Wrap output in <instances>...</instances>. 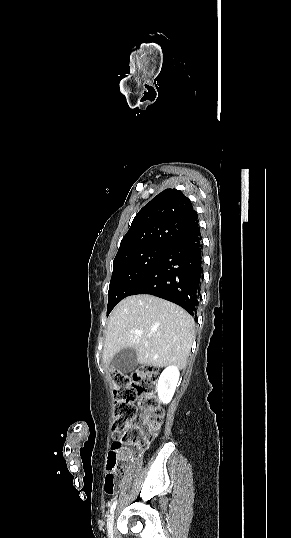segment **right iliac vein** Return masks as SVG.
Wrapping results in <instances>:
<instances>
[{
    "label": "right iliac vein",
    "instance_id": "obj_1",
    "mask_svg": "<svg viewBox=\"0 0 291 538\" xmlns=\"http://www.w3.org/2000/svg\"><path fill=\"white\" fill-rule=\"evenodd\" d=\"M113 526H114V513L109 517L107 529L109 538H113Z\"/></svg>",
    "mask_w": 291,
    "mask_h": 538
}]
</instances>
